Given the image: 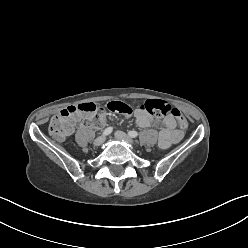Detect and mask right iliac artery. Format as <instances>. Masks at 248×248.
Listing matches in <instances>:
<instances>
[{
	"mask_svg": "<svg viewBox=\"0 0 248 248\" xmlns=\"http://www.w3.org/2000/svg\"><path fill=\"white\" fill-rule=\"evenodd\" d=\"M113 131V128L112 127H108L106 128L104 131H103V135L106 136V135H109L111 134V132Z\"/></svg>",
	"mask_w": 248,
	"mask_h": 248,
	"instance_id": "82829eb1",
	"label": "right iliac artery"
}]
</instances>
